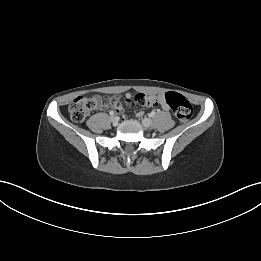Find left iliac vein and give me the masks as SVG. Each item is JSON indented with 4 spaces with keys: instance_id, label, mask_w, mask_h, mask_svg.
I'll list each match as a JSON object with an SVG mask.
<instances>
[{
    "instance_id": "1",
    "label": "left iliac vein",
    "mask_w": 261,
    "mask_h": 261,
    "mask_svg": "<svg viewBox=\"0 0 261 261\" xmlns=\"http://www.w3.org/2000/svg\"><path fill=\"white\" fill-rule=\"evenodd\" d=\"M142 124H143L144 127L149 128L153 125V122L150 118H144L142 120Z\"/></svg>"
}]
</instances>
